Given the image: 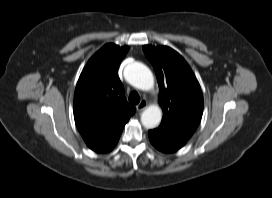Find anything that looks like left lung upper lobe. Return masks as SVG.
Segmentation results:
<instances>
[{
  "label": "left lung upper lobe",
  "mask_w": 272,
  "mask_h": 198,
  "mask_svg": "<svg viewBox=\"0 0 272 198\" xmlns=\"http://www.w3.org/2000/svg\"><path fill=\"white\" fill-rule=\"evenodd\" d=\"M154 67L163 110L161 123L193 134L203 113L200 85L184 58L167 46H143Z\"/></svg>",
  "instance_id": "obj_1"
}]
</instances>
